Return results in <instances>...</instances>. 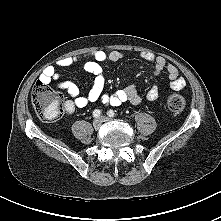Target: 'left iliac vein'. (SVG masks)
<instances>
[{
	"instance_id": "obj_1",
	"label": "left iliac vein",
	"mask_w": 221,
	"mask_h": 221,
	"mask_svg": "<svg viewBox=\"0 0 221 221\" xmlns=\"http://www.w3.org/2000/svg\"><path fill=\"white\" fill-rule=\"evenodd\" d=\"M100 119L102 120V122H108L111 120L110 118H108L106 116H102Z\"/></svg>"
}]
</instances>
